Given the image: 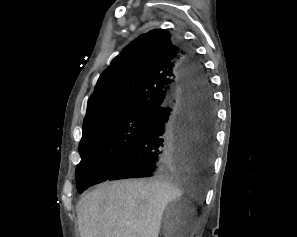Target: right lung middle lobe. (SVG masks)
Returning <instances> with one entry per match:
<instances>
[{
  "instance_id": "dd1d6c3e",
  "label": "right lung middle lobe",
  "mask_w": 297,
  "mask_h": 237,
  "mask_svg": "<svg viewBox=\"0 0 297 237\" xmlns=\"http://www.w3.org/2000/svg\"><path fill=\"white\" fill-rule=\"evenodd\" d=\"M152 117L153 112H134L97 121L83 130L79 143L81 162L76 167L80 193L109 172L141 136Z\"/></svg>"
}]
</instances>
